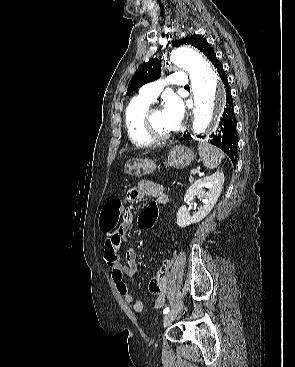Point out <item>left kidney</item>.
Listing matches in <instances>:
<instances>
[{"instance_id":"obj_1","label":"left kidney","mask_w":295,"mask_h":367,"mask_svg":"<svg viewBox=\"0 0 295 367\" xmlns=\"http://www.w3.org/2000/svg\"><path fill=\"white\" fill-rule=\"evenodd\" d=\"M224 179L223 172L217 171L208 177L196 180L188 188L184 196V202L190 203L195 196H198L201 205L193 216H190L186 205L181 206L177 213L179 227L183 228L198 223L210 213L222 192Z\"/></svg>"}]
</instances>
